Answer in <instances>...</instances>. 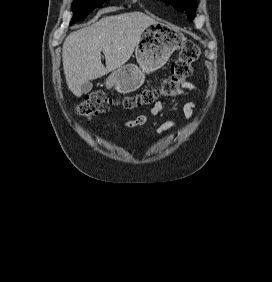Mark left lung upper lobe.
<instances>
[{"label":"left lung upper lobe","instance_id":"obj_1","mask_svg":"<svg viewBox=\"0 0 272 282\" xmlns=\"http://www.w3.org/2000/svg\"><path fill=\"white\" fill-rule=\"evenodd\" d=\"M173 5L178 11H185L188 19L192 21L195 17V10L197 8L196 0H163Z\"/></svg>","mask_w":272,"mask_h":282}]
</instances>
